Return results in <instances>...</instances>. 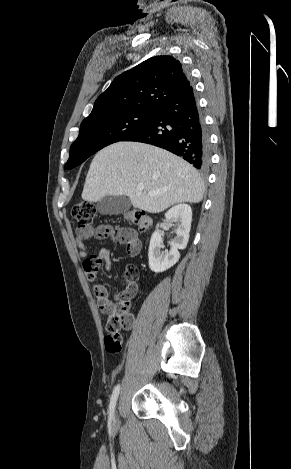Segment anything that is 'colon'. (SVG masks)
<instances>
[{
    "mask_svg": "<svg viewBox=\"0 0 291 469\" xmlns=\"http://www.w3.org/2000/svg\"><path fill=\"white\" fill-rule=\"evenodd\" d=\"M96 215V207L90 201H81L72 208V216L78 223L81 234L90 238L105 239L109 236V230L104 226L94 228L92 226ZM126 220L140 230H146L150 226V218L141 210L132 209L125 214ZM86 266L91 271H97L100 263L89 260ZM138 269L129 265L125 269L126 289L118 295L114 307L107 313L106 330L108 335L104 339L105 349L109 353L117 354L122 350V329L129 330L133 327L134 316L131 312L132 299L137 291ZM99 287V284L96 285Z\"/></svg>",
    "mask_w": 291,
    "mask_h": 469,
    "instance_id": "5ec220e1",
    "label": "colon"
}]
</instances>
